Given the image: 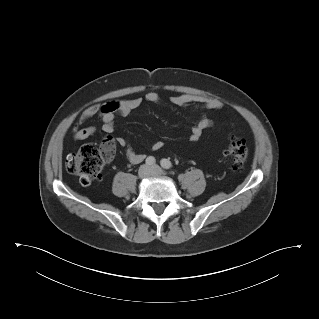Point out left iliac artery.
Segmentation results:
<instances>
[{
	"mask_svg": "<svg viewBox=\"0 0 319 319\" xmlns=\"http://www.w3.org/2000/svg\"><path fill=\"white\" fill-rule=\"evenodd\" d=\"M161 166L163 168H165V169H169V168L172 167V163L169 160H167V159H162L161 160Z\"/></svg>",
	"mask_w": 319,
	"mask_h": 319,
	"instance_id": "44dca946",
	"label": "left iliac artery"
}]
</instances>
